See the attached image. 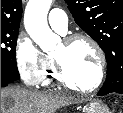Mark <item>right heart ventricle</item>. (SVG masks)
Instances as JSON below:
<instances>
[{
	"instance_id": "1",
	"label": "right heart ventricle",
	"mask_w": 123,
	"mask_h": 113,
	"mask_svg": "<svg viewBox=\"0 0 123 113\" xmlns=\"http://www.w3.org/2000/svg\"><path fill=\"white\" fill-rule=\"evenodd\" d=\"M52 82H57V78L55 76L54 65L51 57H46V68L42 77V84L48 85Z\"/></svg>"
}]
</instances>
